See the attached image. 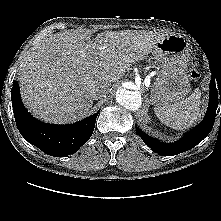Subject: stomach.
I'll return each instance as SVG.
<instances>
[{"mask_svg":"<svg viewBox=\"0 0 221 221\" xmlns=\"http://www.w3.org/2000/svg\"><path fill=\"white\" fill-rule=\"evenodd\" d=\"M191 48L181 35H168L158 41L152 51L159 67L151 87L150 101L156 107L178 103L190 91L187 73Z\"/></svg>","mask_w":221,"mask_h":221,"instance_id":"stomach-1","label":"stomach"}]
</instances>
